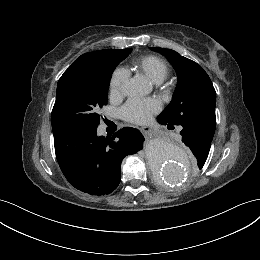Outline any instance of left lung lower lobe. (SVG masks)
I'll use <instances>...</instances> for the list:
<instances>
[{
  "instance_id": "left-lung-lower-lobe-1",
  "label": "left lung lower lobe",
  "mask_w": 260,
  "mask_h": 260,
  "mask_svg": "<svg viewBox=\"0 0 260 260\" xmlns=\"http://www.w3.org/2000/svg\"><path fill=\"white\" fill-rule=\"evenodd\" d=\"M157 120L160 124L167 125L168 128H174L173 124L165 121L159 116ZM180 134L182 136V141L190 148L196 157L198 164L205 163L214 134L193 123L182 124Z\"/></svg>"
}]
</instances>
